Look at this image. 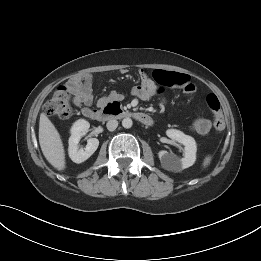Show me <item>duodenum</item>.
Wrapping results in <instances>:
<instances>
[{
	"mask_svg": "<svg viewBox=\"0 0 261 261\" xmlns=\"http://www.w3.org/2000/svg\"><path fill=\"white\" fill-rule=\"evenodd\" d=\"M87 117L97 120L120 117V118H135L136 120L146 124L151 125L152 119L144 113H135L124 109L121 104L117 101L110 102L106 104L103 108L99 110H91L87 113Z\"/></svg>",
	"mask_w": 261,
	"mask_h": 261,
	"instance_id": "duodenum-1",
	"label": "duodenum"
}]
</instances>
